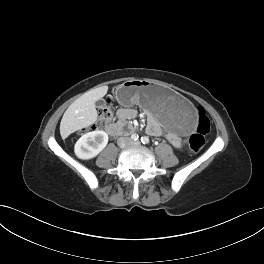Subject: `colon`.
Listing matches in <instances>:
<instances>
[{"instance_id": "obj_1", "label": "colon", "mask_w": 264, "mask_h": 264, "mask_svg": "<svg viewBox=\"0 0 264 264\" xmlns=\"http://www.w3.org/2000/svg\"><path fill=\"white\" fill-rule=\"evenodd\" d=\"M113 117V105L111 99H107L99 109L98 118L95 126L102 128L108 124ZM211 123L203 108L198 109V119L195 132L189 139L190 148L193 152L200 151L206 143V136L210 132Z\"/></svg>"}]
</instances>
